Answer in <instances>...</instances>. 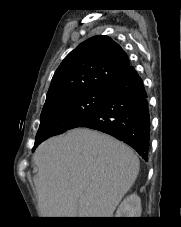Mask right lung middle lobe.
<instances>
[{"instance_id": "obj_1", "label": "right lung middle lobe", "mask_w": 181, "mask_h": 227, "mask_svg": "<svg viewBox=\"0 0 181 227\" xmlns=\"http://www.w3.org/2000/svg\"><path fill=\"white\" fill-rule=\"evenodd\" d=\"M108 95L109 88H104L61 98L44 107L33 150L47 138L79 127L102 108Z\"/></svg>"}]
</instances>
